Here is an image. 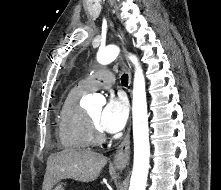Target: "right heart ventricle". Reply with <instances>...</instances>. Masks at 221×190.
Segmentation results:
<instances>
[{
	"mask_svg": "<svg viewBox=\"0 0 221 190\" xmlns=\"http://www.w3.org/2000/svg\"><path fill=\"white\" fill-rule=\"evenodd\" d=\"M87 92L78 85L71 88L63 100L58 117V135L64 149L81 150L90 145L86 111L79 104Z\"/></svg>",
	"mask_w": 221,
	"mask_h": 190,
	"instance_id": "e07e8e85",
	"label": "right heart ventricle"
}]
</instances>
